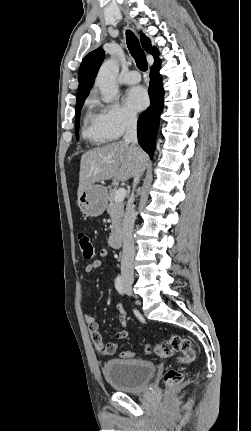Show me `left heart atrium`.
Instances as JSON below:
<instances>
[{
    "label": "left heart atrium",
    "instance_id": "left-heart-atrium-1",
    "mask_svg": "<svg viewBox=\"0 0 251 431\" xmlns=\"http://www.w3.org/2000/svg\"><path fill=\"white\" fill-rule=\"evenodd\" d=\"M125 104L133 111H140L148 104V96L141 86H134L127 90L124 98Z\"/></svg>",
    "mask_w": 251,
    "mask_h": 431
}]
</instances>
